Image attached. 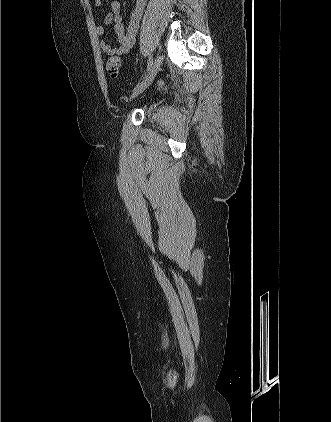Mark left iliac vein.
<instances>
[{
  "mask_svg": "<svg viewBox=\"0 0 331 422\" xmlns=\"http://www.w3.org/2000/svg\"><path fill=\"white\" fill-rule=\"evenodd\" d=\"M161 63H162V57L160 54H157V56L155 57L152 63V66L145 74L142 82L139 85H137V87L134 89L130 99L137 97L151 84V82L154 80V78L156 77L160 69Z\"/></svg>",
  "mask_w": 331,
  "mask_h": 422,
  "instance_id": "4c4485c4",
  "label": "left iliac vein"
}]
</instances>
